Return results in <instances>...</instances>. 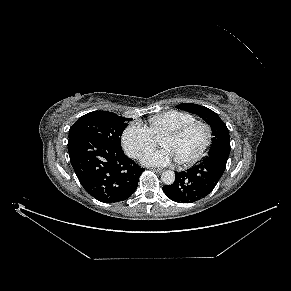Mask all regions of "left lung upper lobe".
<instances>
[{"label":"left lung upper lobe","mask_w":291,"mask_h":291,"mask_svg":"<svg viewBox=\"0 0 291 291\" xmlns=\"http://www.w3.org/2000/svg\"><path fill=\"white\" fill-rule=\"evenodd\" d=\"M176 108L196 114L210 125L214 136L210 149L220 144H230L229 130L214 111L207 107L190 103L179 104Z\"/></svg>","instance_id":"5c2ea615"}]
</instances>
